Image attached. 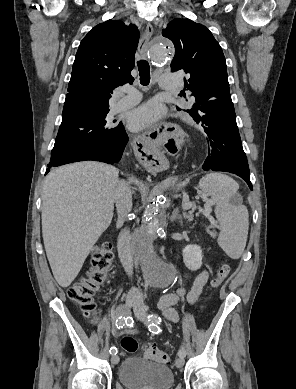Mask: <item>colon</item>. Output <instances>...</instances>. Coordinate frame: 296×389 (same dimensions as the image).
I'll list each match as a JSON object with an SVG mask.
<instances>
[{"label":"colon","instance_id":"colon-1","mask_svg":"<svg viewBox=\"0 0 296 389\" xmlns=\"http://www.w3.org/2000/svg\"><path fill=\"white\" fill-rule=\"evenodd\" d=\"M112 261L111 245L108 242L97 245L93 251L90 269L68 289V296L72 302L93 321L96 319L95 297L109 280ZM230 272L231 267L227 264L223 265L212 279L211 287L219 288ZM121 346L127 353H134L138 349V342L132 336H125L121 340ZM145 356L162 364L170 362V355L156 346H149L145 351Z\"/></svg>","mask_w":296,"mask_h":389}]
</instances>
